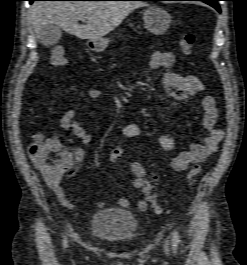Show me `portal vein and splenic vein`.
Segmentation results:
<instances>
[{
	"label": "portal vein and splenic vein",
	"mask_w": 247,
	"mask_h": 265,
	"mask_svg": "<svg viewBox=\"0 0 247 265\" xmlns=\"http://www.w3.org/2000/svg\"><path fill=\"white\" fill-rule=\"evenodd\" d=\"M80 20H86V17H84V16H82V17H80Z\"/></svg>",
	"instance_id": "1"
}]
</instances>
